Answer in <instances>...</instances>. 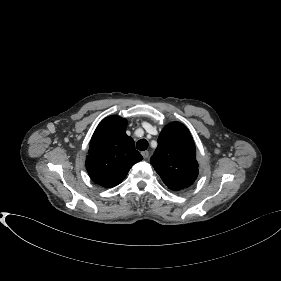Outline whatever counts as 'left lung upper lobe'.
I'll return each mask as SVG.
<instances>
[{"label":"left lung upper lobe","mask_w":281,"mask_h":281,"mask_svg":"<svg viewBox=\"0 0 281 281\" xmlns=\"http://www.w3.org/2000/svg\"><path fill=\"white\" fill-rule=\"evenodd\" d=\"M150 163L164 184L173 191L191 186L198 176L194 140L179 122L167 125L158 137Z\"/></svg>","instance_id":"left-lung-upper-lobe-1"}]
</instances>
